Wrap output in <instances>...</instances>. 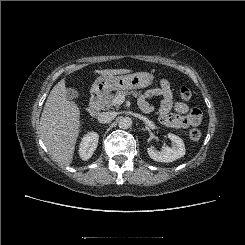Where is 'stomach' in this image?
I'll list each match as a JSON object with an SVG mask.
<instances>
[{"mask_svg":"<svg viewBox=\"0 0 245 245\" xmlns=\"http://www.w3.org/2000/svg\"><path fill=\"white\" fill-rule=\"evenodd\" d=\"M154 76L148 72H136L121 76H99L92 85L97 94H105L112 90L141 89L151 86Z\"/></svg>","mask_w":245,"mask_h":245,"instance_id":"1","label":"stomach"}]
</instances>
